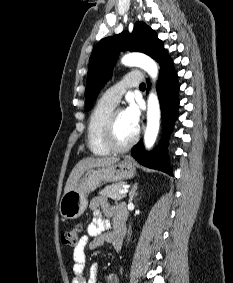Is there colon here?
I'll use <instances>...</instances> for the list:
<instances>
[{
  "label": "colon",
  "mask_w": 233,
  "mask_h": 283,
  "mask_svg": "<svg viewBox=\"0 0 233 283\" xmlns=\"http://www.w3.org/2000/svg\"><path fill=\"white\" fill-rule=\"evenodd\" d=\"M82 227L79 224L73 225L72 227L66 229L61 235V241L65 245L74 246L77 244Z\"/></svg>",
  "instance_id": "colon-1"
}]
</instances>
